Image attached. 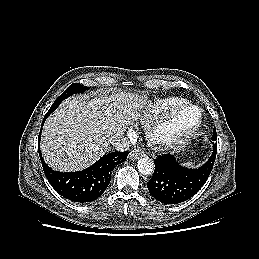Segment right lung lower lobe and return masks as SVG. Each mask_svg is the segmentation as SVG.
I'll use <instances>...</instances> for the list:
<instances>
[{"instance_id":"right-lung-lower-lobe-1","label":"right lung lower lobe","mask_w":259,"mask_h":259,"mask_svg":"<svg viewBox=\"0 0 259 259\" xmlns=\"http://www.w3.org/2000/svg\"><path fill=\"white\" fill-rule=\"evenodd\" d=\"M49 115V113L45 115L42 126ZM41 132L42 128L38 137V152L44 173L59 194L74 202L85 203L100 197L110 183L113 168L124 162L128 156V152H111L83 171L57 172L43 160L40 152Z\"/></svg>"}]
</instances>
